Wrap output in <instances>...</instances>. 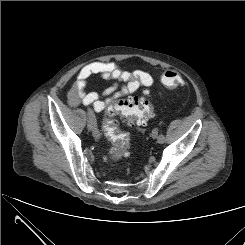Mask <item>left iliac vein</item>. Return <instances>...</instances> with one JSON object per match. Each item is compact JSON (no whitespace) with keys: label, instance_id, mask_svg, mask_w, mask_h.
Returning <instances> with one entry per match:
<instances>
[{"label":"left iliac vein","instance_id":"4c4485c4","mask_svg":"<svg viewBox=\"0 0 245 245\" xmlns=\"http://www.w3.org/2000/svg\"><path fill=\"white\" fill-rule=\"evenodd\" d=\"M152 137L153 138H157V140H158V129H154L153 131H152Z\"/></svg>","mask_w":245,"mask_h":245}]
</instances>
